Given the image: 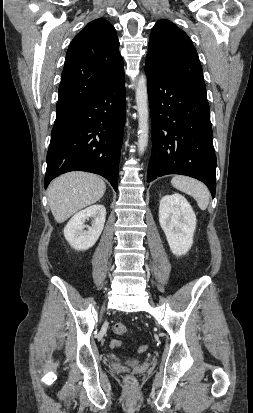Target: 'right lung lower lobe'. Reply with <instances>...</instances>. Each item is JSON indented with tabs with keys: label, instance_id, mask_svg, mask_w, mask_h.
I'll return each instance as SVG.
<instances>
[{
	"label": "right lung lower lobe",
	"instance_id": "obj_1",
	"mask_svg": "<svg viewBox=\"0 0 253 413\" xmlns=\"http://www.w3.org/2000/svg\"><path fill=\"white\" fill-rule=\"evenodd\" d=\"M125 111L124 74L98 93L57 109L45 188L60 174L80 170L105 177L117 190Z\"/></svg>",
	"mask_w": 253,
	"mask_h": 413
}]
</instances>
